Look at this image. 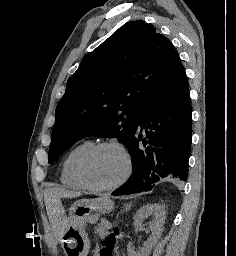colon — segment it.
Instances as JSON below:
<instances>
[{"instance_id": "obj_1", "label": "colon", "mask_w": 236, "mask_h": 256, "mask_svg": "<svg viewBox=\"0 0 236 256\" xmlns=\"http://www.w3.org/2000/svg\"><path fill=\"white\" fill-rule=\"evenodd\" d=\"M118 239V231H112L104 236L101 240V245L98 248L97 256H116Z\"/></svg>"}]
</instances>
